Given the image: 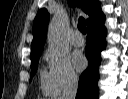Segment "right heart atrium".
<instances>
[{
    "label": "right heart atrium",
    "mask_w": 128,
    "mask_h": 99,
    "mask_svg": "<svg viewBox=\"0 0 128 99\" xmlns=\"http://www.w3.org/2000/svg\"><path fill=\"white\" fill-rule=\"evenodd\" d=\"M45 60L47 61L49 75L57 93L70 89L77 84L78 75L69 58L48 50L45 53Z\"/></svg>",
    "instance_id": "right-heart-atrium-1"
}]
</instances>
